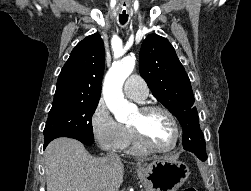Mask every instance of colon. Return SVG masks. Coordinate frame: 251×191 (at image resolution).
Segmentation results:
<instances>
[{"label": "colon", "instance_id": "5ec220e1", "mask_svg": "<svg viewBox=\"0 0 251 191\" xmlns=\"http://www.w3.org/2000/svg\"><path fill=\"white\" fill-rule=\"evenodd\" d=\"M183 191H198V189L195 187H185L183 188Z\"/></svg>", "mask_w": 251, "mask_h": 191}]
</instances>
